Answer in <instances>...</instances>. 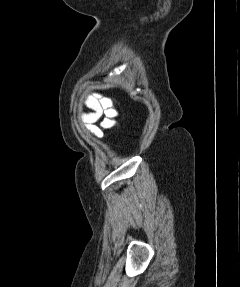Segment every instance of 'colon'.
Masks as SVG:
<instances>
[{"label":"colon","mask_w":240,"mask_h":287,"mask_svg":"<svg viewBox=\"0 0 240 287\" xmlns=\"http://www.w3.org/2000/svg\"><path fill=\"white\" fill-rule=\"evenodd\" d=\"M97 102L101 108L102 115L104 116L101 127L109 130L117 125L118 111L113 107V103L109 98L98 97Z\"/></svg>","instance_id":"obj_1"}]
</instances>
